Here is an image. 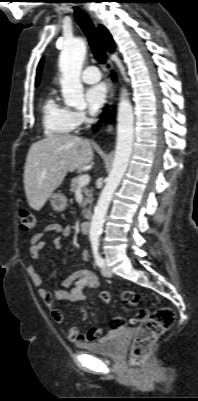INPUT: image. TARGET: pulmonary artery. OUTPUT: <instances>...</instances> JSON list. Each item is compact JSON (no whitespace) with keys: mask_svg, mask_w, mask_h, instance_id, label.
<instances>
[{"mask_svg":"<svg viewBox=\"0 0 198 401\" xmlns=\"http://www.w3.org/2000/svg\"><path fill=\"white\" fill-rule=\"evenodd\" d=\"M101 77H102V75H101L100 71L95 66L87 67L81 75L82 80L88 84L98 82L101 79Z\"/></svg>","mask_w":198,"mask_h":401,"instance_id":"1","label":"pulmonary artery"}]
</instances>
